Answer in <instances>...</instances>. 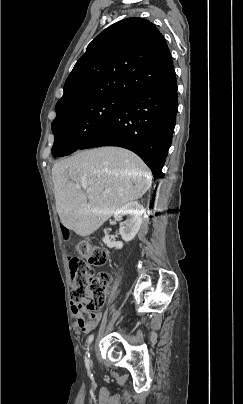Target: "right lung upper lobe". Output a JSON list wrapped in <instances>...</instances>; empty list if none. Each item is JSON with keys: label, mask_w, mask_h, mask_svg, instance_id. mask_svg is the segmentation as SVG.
<instances>
[{"label": "right lung upper lobe", "mask_w": 243, "mask_h": 404, "mask_svg": "<svg viewBox=\"0 0 243 404\" xmlns=\"http://www.w3.org/2000/svg\"><path fill=\"white\" fill-rule=\"evenodd\" d=\"M173 71L167 43L156 26L127 18L106 28L75 64L56 104L57 116L93 100L127 98Z\"/></svg>", "instance_id": "1"}]
</instances>
